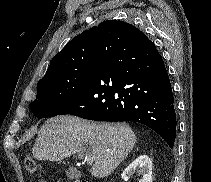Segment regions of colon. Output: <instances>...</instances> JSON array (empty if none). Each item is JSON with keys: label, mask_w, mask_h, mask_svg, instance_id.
<instances>
[{"label": "colon", "mask_w": 211, "mask_h": 182, "mask_svg": "<svg viewBox=\"0 0 211 182\" xmlns=\"http://www.w3.org/2000/svg\"><path fill=\"white\" fill-rule=\"evenodd\" d=\"M25 165H26V168L27 170L30 172V173H34L36 170H37V164H36V161L34 160L33 157L31 156H28L25 160ZM81 182H86V181H81Z\"/></svg>", "instance_id": "colon-1"}]
</instances>
